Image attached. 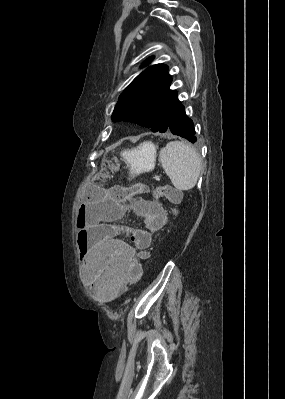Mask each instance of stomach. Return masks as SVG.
<instances>
[{
  "instance_id": "stomach-1",
  "label": "stomach",
  "mask_w": 285,
  "mask_h": 399,
  "mask_svg": "<svg viewBox=\"0 0 285 399\" xmlns=\"http://www.w3.org/2000/svg\"><path fill=\"white\" fill-rule=\"evenodd\" d=\"M130 166L132 174H140L153 170L156 162V148L152 143L145 142L132 150L122 153Z\"/></svg>"
}]
</instances>
